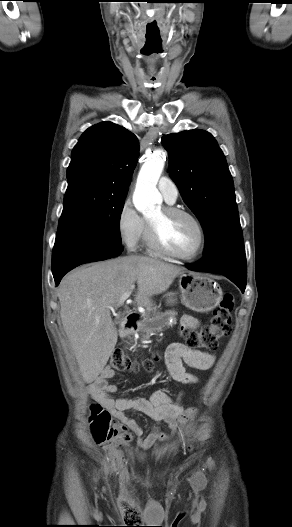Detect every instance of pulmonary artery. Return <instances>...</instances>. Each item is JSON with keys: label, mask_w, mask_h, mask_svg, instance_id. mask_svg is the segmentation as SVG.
Wrapping results in <instances>:
<instances>
[{"label": "pulmonary artery", "mask_w": 292, "mask_h": 527, "mask_svg": "<svg viewBox=\"0 0 292 527\" xmlns=\"http://www.w3.org/2000/svg\"><path fill=\"white\" fill-rule=\"evenodd\" d=\"M158 189L166 202L172 204L177 200L178 188L168 177H161L158 181Z\"/></svg>", "instance_id": "1"}]
</instances>
